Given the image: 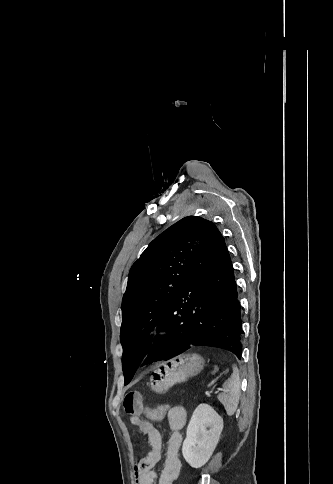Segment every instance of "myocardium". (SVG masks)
Returning a JSON list of instances; mask_svg holds the SVG:
<instances>
[{"label":"myocardium","instance_id":"1","mask_svg":"<svg viewBox=\"0 0 333 484\" xmlns=\"http://www.w3.org/2000/svg\"><path fill=\"white\" fill-rule=\"evenodd\" d=\"M168 329L162 326H157L154 328L148 338H147V344L148 348L151 352H156L158 351L161 346L163 345L165 339L168 336Z\"/></svg>","mask_w":333,"mask_h":484}]
</instances>
